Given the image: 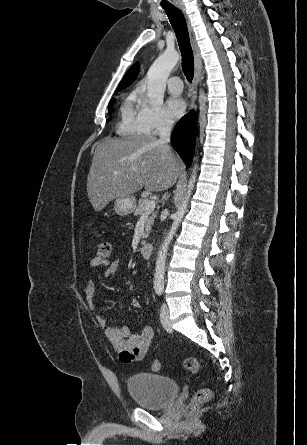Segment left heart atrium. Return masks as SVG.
<instances>
[{"label":"left heart atrium","mask_w":307,"mask_h":445,"mask_svg":"<svg viewBox=\"0 0 307 445\" xmlns=\"http://www.w3.org/2000/svg\"><path fill=\"white\" fill-rule=\"evenodd\" d=\"M166 110L173 118L181 117L186 110V103L182 97L178 95H169L165 99Z\"/></svg>","instance_id":"1"}]
</instances>
